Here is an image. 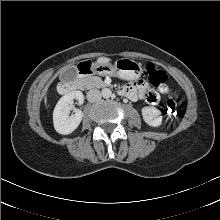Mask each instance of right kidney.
<instances>
[{
    "instance_id": "ca27d5eb",
    "label": "right kidney",
    "mask_w": 220,
    "mask_h": 220,
    "mask_svg": "<svg viewBox=\"0 0 220 220\" xmlns=\"http://www.w3.org/2000/svg\"><path fill=\"white\" fill-rule=\"evenodd\" d=\"M74 99L78 100L79 104H83L84 95L81 91H72L60 98L53 112L54 128L59 134H71L80 124L83 118V112L79 109L69 116L73 109Z\"/></svg>"
}]
</instances>
